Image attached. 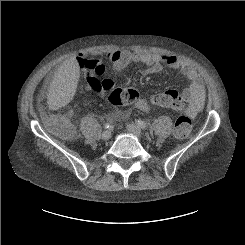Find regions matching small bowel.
Returning <instances> with one entry per match:
<instances>
[{"label": "small bowel", "mask_w": 245, "mask_h": 245, "mask_svg": "<svg viewBox=\"0 0 245 245\" xmlns=\"http://www.w3.org/2000/svg\"><path fill=\"white\" fill-rule=\"evenodd\" d=\"M112 67L116 71L124 70L130 64H144L147 66L146 74H155L162 70L163 66L171 69H179L189 79V86L182 92V99L187 103L185 114L188 117H195L203 108L206 94L203 82L197 70L188 63L178 59L172 54H155L149 52L131 51V50H113L106 54ZM77 68L75 58L64 60L57 68L58 74H66ZM93 78H88V89L94 91L91 87ZM108 86H112V82L108 79L101 80ZM136 109L149 111L152 108L148 98L140 97L133 102Z\"/></svg>", "instance_id": "1"}]
</instances>
